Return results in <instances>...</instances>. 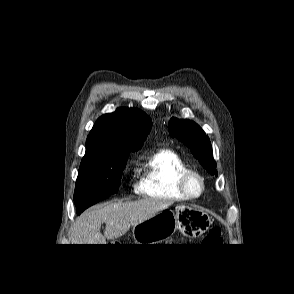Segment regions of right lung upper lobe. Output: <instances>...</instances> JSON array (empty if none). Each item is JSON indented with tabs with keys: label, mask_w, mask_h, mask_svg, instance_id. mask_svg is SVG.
<instances>
[{
	"label": "right lung upper lobe",
	"mask_w": 294,
	"mask_h": 294,
	"mask_svg": "<svg viewBox=\"0 0 294 294\" xmlns=\"http://www.w3.org/2000/svg\"><path fill=\"white\" fill-rule=\"evenodd\" d=\"M151 126V119L140 110L119 108L96 121L86 141V152L135 151Z\"/></svg>",
	"instance_id": "obj_1"
}]
</instances>
